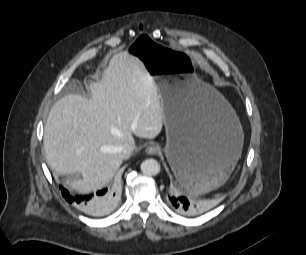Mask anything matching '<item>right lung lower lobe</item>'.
Returning <instances> with one entry per match:
<instances>
[{
	"mask_svg": "<svg viewBox=\"0 0 306 255\" xmlns=\"http://www.w3.org/2000/svg\"><path fill=\"white\" fill-rule=\"evenodd\" d=\"M63 197L78 209L89 215L99 216L106 213L116 201V193L113 190L103 189L95 195H71L61 187Z\"/></svg>",
	"mask_w": 306,
	"mask_h": 255,
	"instance_id": "right-lung-lower-lobe-1",
	"label": "right lung lower lobe"
}]
</instances>
